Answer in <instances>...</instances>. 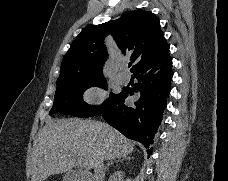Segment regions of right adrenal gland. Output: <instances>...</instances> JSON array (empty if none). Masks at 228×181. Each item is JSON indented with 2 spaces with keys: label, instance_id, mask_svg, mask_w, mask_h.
<instances>
[{
  "label": "right adrenal gland",
  "instance_id": "1",
  "mask_svg": "<svg viewBox=\"0 0 228 181\" xmlns=\"http://www.w3.org/2000/svg\"><path fill=\"white\" fill-rule=\"evenodd\" d=\"M125 159H127V161H130V157H121V159H112V161H109V163H107V167H105V171H108L109 167H112L114 163H122V161H125Z\"/></svg>",
  "mask_w": 228,
  "mask_h": 181
}]
</instances>
